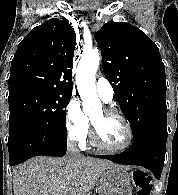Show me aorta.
Listing matches in <instances>:
<instances>
[{"mask_svg": "<svg viewBox=\"0 0 178 195\" xmlns=\"http://www.w3.org/2000/svg\"><path fill=\"white\" fill-rule=\"evenodd\" d=\"M100 62L98 51L84 52L76 71V84L83 101V111L90 114L101 106L96 93L95 75Z\"/></svg>", "mask_w": 178, "mask_h": 195, "instance_id": "obj_1", "label": "aorta"}]
</instances>
